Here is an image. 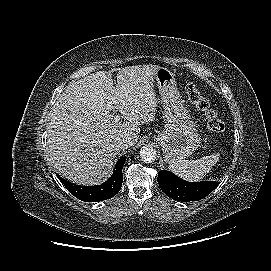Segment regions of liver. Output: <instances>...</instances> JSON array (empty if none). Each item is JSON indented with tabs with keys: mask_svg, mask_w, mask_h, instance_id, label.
I'll list each match as a JSON object with an SVG mask.
<instances>
[{
	"mask_svg": "<svg viewBox=\"0 0 271 271\" xmlns=\"http://www.w3.org/2000/svg\"><path fill=\"white\" fill-rule=\"evenodd\" d=\"M157 65H136L112 73L99 71L70 83L49 114L47 148L59 174L80 185H95L111 173L120 152L116 141L130 136L135 145L138 125L154 120ZM117 109L126 122H115Z\"/></svg>",
	"mask_w": 271,
	"mask_h": 271,
	"instance_id": "1",
	"label": "liver"
}]
</instances>
